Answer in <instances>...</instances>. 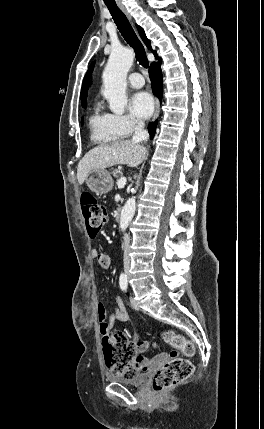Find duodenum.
I'll return each instance as SVG.
<instances>
[{
  "instance_id": "obj_1",
  "label": "duodenum",
  "mask_w": 264,
  "mask_h": 429,
  "mask_svg": "<svg viewBox=\"0 0 264 429\" xmlns=\"http://www.w3.org/2000/svg\"><path fill=\"white\" fill-rule=\"evenodd\" d=\"M116 219H117V220H120V219H121V212H120V211H117V212H116Z\"/></svg>"
}]
</instances>
